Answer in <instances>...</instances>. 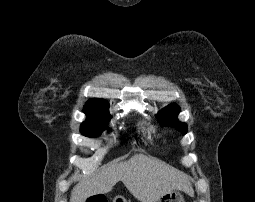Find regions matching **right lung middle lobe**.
<instances>
[{
    "instance_id": "1",
    "label": "right lung middle lobe",
    "mask_w": 255,
    "mask_h": 202,
    "mask_svg": "<svg viewBox=\"0 0 255 202\" xmlns=\"http://www.w3.org/2000/svg\"><path fill=\"white\" fill-rule=\"evenodd\" d=\"M111 117L105 119H86L81 124L80 132L86 137H97L106 128Z\"/></svg>"
}]
</instances>
